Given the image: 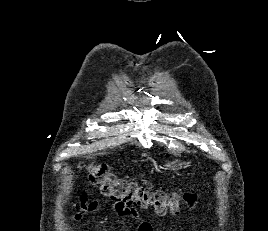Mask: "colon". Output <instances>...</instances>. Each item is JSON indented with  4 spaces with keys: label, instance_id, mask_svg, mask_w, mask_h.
Listing matches in <instances>:
<instances>
[{
    "label": "colon",
    "instance_id": "obj_1",
    "mask_svg": "<svg viewBox=\"0 0 268 231\" xmlns=\"http://www.w3.org/2000/svg\"><path fill=\"white\" fill-rule=\"evenodd\" d=\"M86 171L90 181L96 184L106 196L118 202L120 207L127 208L138 204L152 206L159 213L178 214L183 208L194 209L197 204V196L194 193L187 192L183 195L167 193L127 182L112 174L102 163L87 164Z\"/></svg>",
    "mask_w": 268,
    "mask_h": 231
}]
</instances>
